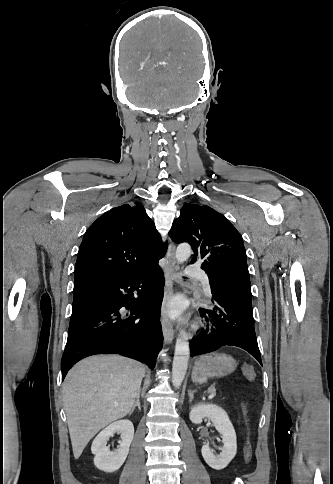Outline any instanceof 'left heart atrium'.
Returning <instances> with one entry per match:
<instances>
[{"mask_svg":"<svg viewBox=\"0 0 333 484\" xmlns=\"http://www.w3.org/2000/svg\"><path fill=\"white\" fill-rule=\"evenodd\" d=\"M183 310V303L179 298H174L172 300H169L167 307H166V313L175 318L178 317Z\"/></svg>","mask_w":333,"mask_h":484,"instance_id":"left-heart-atrium-1","label":"left heart atrium"}]
</instances>
